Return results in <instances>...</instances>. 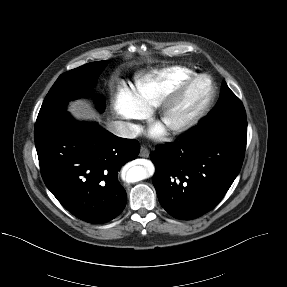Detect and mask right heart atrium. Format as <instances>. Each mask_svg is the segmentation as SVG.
<instances>
[{
	"mask_svg": "<svg viewBox=\"0 0 287 287\" xmlns=\"http://www.w3.org/2000/svg\"><path fill=\"white\" fill-rule=\"evenodd\" d=\"M112 110L118 118L126 122L130 134L137 129L136 121L145 118L147 115L140 107L132 90L127 86H121L118 89L112 101Z\"/></svg>",
	"mask_w": 287,
	"mask_h": 287,
	"instance_id": "d8ad5b80",
	"label": "right heart atrium"
}]
</instances>
